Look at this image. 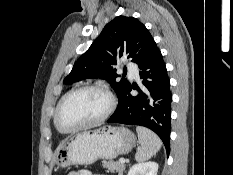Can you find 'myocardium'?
I'll use <instances>...</instances> for the list:
<instances>
[{"mask_svg":"<svg viewBox=\"0 0 233 175\" xmlns=\"http://www.w3.org/2000/svg\"><path fill=\"white\" fill-rule=\"evenodd\" d=\"M82 90H98L101 91L108 99V106L106 108V110L97 118L90 120L88 122H85L77 127L74 128H70V129H64L60 126L59 124V112H60V108L63 104V102L72 94L78 92V91H82ZM116 107V100L114 95L112 94V92L104 85L101 84H85V85H81L78 87H75L73 89H71L70 91H68L65 95L62 96V98L59 100L56 110H55V114H54V124L56 126V128L62 132V133H73V132H77L80 131L84 128H87L89 126L92 125H96L98 123L103 122L104 120H106L115 110Z\"/></svg>","mask_w":233,"mask_h":175,"instance_id":"f54148a6","label":"myocardium"}]
</instances>
